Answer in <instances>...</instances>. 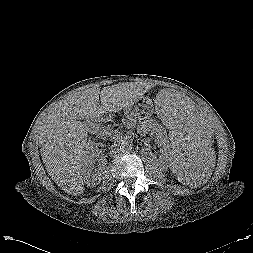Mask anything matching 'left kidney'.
<instances>
[{
    "instance_id": "5707ae66",
    "label": "left kidney",
    "mask_w": 253,
    "mask_h": 253,
    "mask_svg": "<svg viewBox=\"0 0 253 253\" xmlns=\"http://www.w3.org/2000/svg\"><path fill=\"white\" fill-rule=\"evenodd\" d=\"M138 133L141 136H145L148 133H150L152 136H155L159 146L161 147V158L170 160V166H173V162H171V152H169V140L167 133L161 125L153 120L146 121L139 125ZM175 173L180 176L177 171H175Z\"/></svg>"
}]
</instances>
